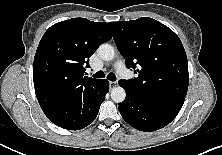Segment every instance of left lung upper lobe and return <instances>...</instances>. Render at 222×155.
<instances>
[{
  "instance_id": "5c2ea615",
  "label": "left lung upper lobe",
  "mask_w": 222,
  "mask_h": 155,
  "mask_svg": "<svg viewBox=\"0 0 222 155\" xmlns=\"http://www.w3.org/2000/svg\"><path fill=\"white\" fill-rule=\"evenodd\" d=\"M109 24L126 66L138 67L136 78L121 79L119 84L140 97L180 110L187 94L189 74L179 37L149 17Z\"/></svg>"
}]
</instances>
